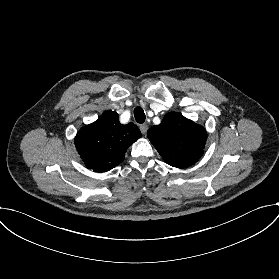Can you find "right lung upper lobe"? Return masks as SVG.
Instances as JSON below:
<instances>
[{"label": "right lung upper lobe", "mask_w": 279, "mask_h": 279, "mask_svg": "<svg viewBox=\"0 0 279 279\" xmlns=\"http://www.w3.org/2000/svg\"><path fill=\"white\" fill-rule=\"evenodd\" d=\"M140 137L135 124L121 125L116 112L106 111L97 121L80 129L75 146L88 168L105 172L121 163L127 148Z\"/></svg>", "instance_id": "cb5924a9"}]
</instances>
